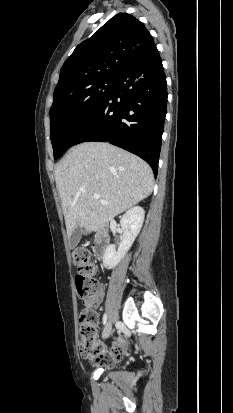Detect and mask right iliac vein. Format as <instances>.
Wrapping results in <instances>:
<instances>
[{
  "mask_svg": "<svg viewBox=\"0 0 233 413\" xmlns=\"http://www.w3.org/2000/svg\"><path fill=\"white\" fill-rule=\"evenodd\" d=\"M111 331H112V325H111L110 322H108V323L106 324L104 330H103L102 337H103L104 339H107V338L110 336Z\"/></svg>",
  "mask_w": 233,
  "mask_h": 413,
  "instance_id": "1",
  "label": "right iliac vein"
}]
</instances>
